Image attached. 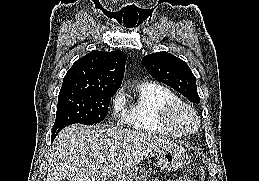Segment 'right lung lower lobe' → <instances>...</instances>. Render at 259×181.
Here are the masks:
<instances>
[{"mask_svg": "<svg viewBox=\"0 0 259 181\" xmlns=\"http://www.w3.org/2000/svg\"><path fill=\"white\" fill-rule=\"evenodd\" d=\"M56 136H53L52 140L55 138Z\"/></svg>", "mask_w": 259, "mask_h": 181, "instance_id": "obj_1", "label": "right lung lower lobe"}]
</instances>
